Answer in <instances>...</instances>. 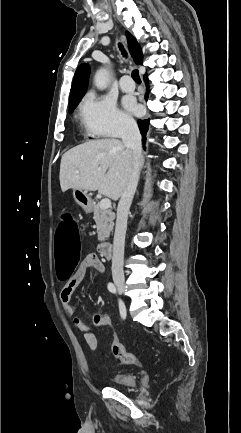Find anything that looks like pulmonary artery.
Listing matches in <instances>:
<instances>
[{"instance_id": "e3ab8cb5", "label": "pulmonary artery", "mask_w": 241, "mask_h": 433, "mask_svg": "<svg viewBox=\"0 0 241 433\" xmlns=\"http://www.w3.org/2000/svg\"><path fill=\"white\" fill-rule=\"evenodd\" d=\"M119 85L124 92H132L135 89V84L127 75L121 77Z\"/></svg>"}]
</instances>
